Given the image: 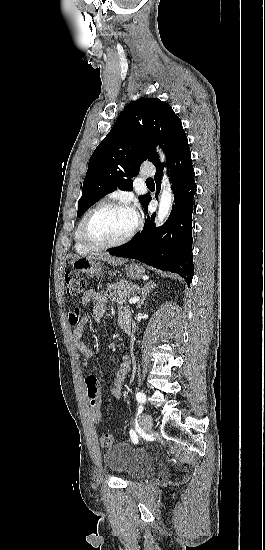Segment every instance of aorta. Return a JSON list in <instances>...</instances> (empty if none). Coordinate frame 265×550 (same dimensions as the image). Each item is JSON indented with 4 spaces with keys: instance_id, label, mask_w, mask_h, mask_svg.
Masks as SVG:
<instances>
[{
    "instance_id": "762f6f07",
    "label": "aorta",
    "mask_w": 265,
    "mask_h": 550,
    "mask_svg": "<svg viewBox=\"0 0 265 550\" xmlns=\"http://www.w3.org/2000/svg\"><path fill=\"white\" fill-rule=\"evenodd\" d=\"M172 201H173V193L171 190V186L170 184L165 182L162 186L160 203L158 207V214L156 218V222L158 225L163 224L167 216L169 215Z\"/></svg>"
}]
</instances>
